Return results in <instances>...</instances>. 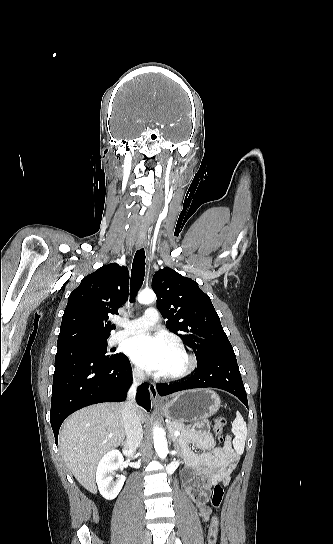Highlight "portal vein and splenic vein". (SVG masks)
<instances>
[{
  "mask_svg": "<svg viewBox=\"0 0 333 544\" xmlns=\"http://www.w3.org/2000/svg\"><path fill=\"white\" fill-rule=\"evenodd\" d=\"M174 435H175V436H178V435H180V432H179V431H175V432H174Z\"/></svg>",
  "mask_w": 333,
  "mask_h": 544,
  "instance_id": "1",
  "label": "portal vein and splenic vein"
}]
</instances>
